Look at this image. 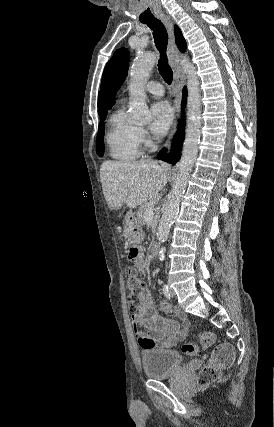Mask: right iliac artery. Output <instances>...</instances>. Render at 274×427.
Instances as JSON below:
<instances>
[{
  "mask_svg": "<svg viewBox=\"0 0 274 427\" xmlns=\"http://www.w3.org/2000/svg\"><path fill=\"white\" fill-rule=\"evenodd\" d=\"M162 290H163L164 296L170 300L171 299V293L169 291L168 285L164 284Z\"/></svg>",
  "mask_w": 274,
  "mask_h": 427,
  "instance_id": "1",
  "label": "right iliac artery"
}]
</instances>
